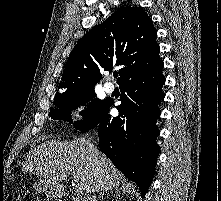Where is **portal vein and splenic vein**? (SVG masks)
Listing matches in <instances>:
<instances>
[{
    "label": "portal vein and splenic vein",
    "mask_w": 221,
    "mask_h": 201,
    "mask_svg": "<svg viewBox=\"0 0 221 201\" xmlns=\"http://www.w3.org/2000/svg\"><path fill=\"white\" fill-rule=\"evenodd\" d=\"M74 181H76V184L74 185V191L76 194L80 195L83 193L84 191V187L82 183L77 182L76 179H74Z\"/></svg>",
    "instance_id": "obj_1"
}]
</instances>
